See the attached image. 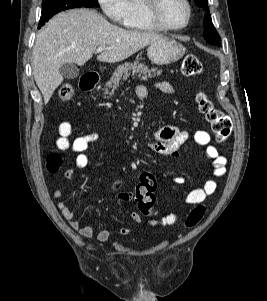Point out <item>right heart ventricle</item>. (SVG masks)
Returning a JSON list of instances; mask_svg holds the SVG:
<instances>
[{
    "instance_id": "right-heart-ventricle-1",
    "label": "right heart ventricle",
    "mask_w": 267,
    "mask_h": 301,
    "mask_svg": "<svg viewBox=\"0 0 267 301\" xmlns=\"http://www.w3.org/2000/svg\"><path fill=\"white\" fill-rule=\"evenodd\" d=\"M144 4V0H127V18L124 26L134 31H162L163 29L148 18Z\"/></svg>"
}]
</instances>
